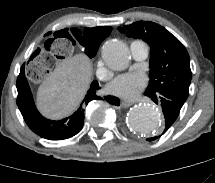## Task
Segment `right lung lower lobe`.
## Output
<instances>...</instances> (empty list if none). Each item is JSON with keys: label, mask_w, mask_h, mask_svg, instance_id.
<instances>
[{"label": "right lung lower lobe", "mask_w": 215, "mask_h": 183, "mask_svg": "<svg viewBox=\"0 0 215 183\" xmlns=\"http://www.w3.org/2000/svg\"><path fill=\"white\" fill-rule=\"evenodd\" d=\"M99 88L98 82L93 81L79 108L71 116L59 121L49 120L44 118L36 109L22 66L17 78V105L25 122L34 133L48 140H63L73 137L81 131L85 108L89 102L103 100L117 106L120 104L117 97L99 96L97 93Z\"/></svg>", "instance_id": "1"}]
</instances>
